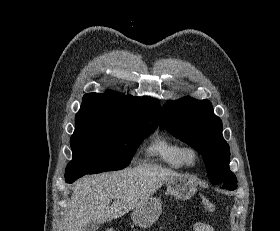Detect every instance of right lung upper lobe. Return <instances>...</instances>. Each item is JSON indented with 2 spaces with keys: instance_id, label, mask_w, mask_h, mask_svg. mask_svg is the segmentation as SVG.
Instances as JSON below:
<instances>
[{
  "instance_id": "1",
  "label": "right lung upper lobe",
  "mask_w": 280,
  "mask_h": 231,
  "mask_svg": "<svg viewBox=\"0 0 280 231\" xmlns=\"http://www.w3.org/2000/svg\"><path fill=\"white\" fill-rule=\"evenodd\" d=\"M159 117L160 104L155 99L106 91L86 94L75 119L112 118L157 127Z\"/></svg>"
}]
</instances>
